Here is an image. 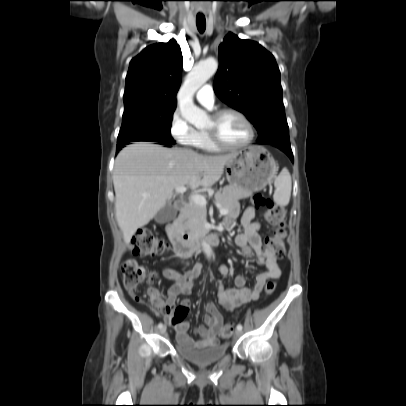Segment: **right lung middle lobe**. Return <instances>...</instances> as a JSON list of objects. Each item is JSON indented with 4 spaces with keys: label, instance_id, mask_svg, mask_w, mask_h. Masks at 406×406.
I'll return each instance as SVG.
<instances>
[{
    "label": "right lung middle lobe",
    "instance_id": "dd1d6c3e",
    "mask_svg": "<svg viewBox=\"0 0 406 406\" xmlns=\"http://www.w3.org/2000/svg\"><path fill=\"white\" fill-rule=\"evenodd\" d=\"M174 110L147 106L125 108L117 148L137 141L174 144L170 133Z\"/></svg>",
    "mask_w": 406,
    "mask_h": 406
}]
</instances>
